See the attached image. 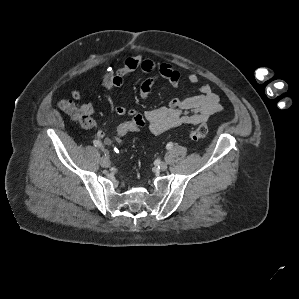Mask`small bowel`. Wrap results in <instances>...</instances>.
<instances>
[{"instance_id": "obj_1", "label": "small bowel", "mask_w": 299, "mask_h": 299, "mask_svg": "<svg viewBox=\"0 0 299 299\" xmlns=\"http://www.w3.org/2000/svg\"><path fill=\"white\" fill-rule=\"evenodd\" d=\"M136 71L148 75L140 87L142 99L147 98L159 78L166 79L173 86H177L180 81L179 72L169 63H155L143 58L142 55H136L128 57L121 68L104 74L101 84L106 91H111L114 87L121 86L126 78ZM198 80V76L194 73L188 76V81L192 84H196ZM71 95L75 100H80L82 97L81 92L77 89L73 90ZM82 108L89 116L94 113V108L90 103L83 104ZM221 110L222 105L219 96L207 84L199 88L197 95L185 98L176 96L171 99L167 106L150 109L142 113L122 105L115 107L117 115L129 116V118L141 123L143 128L147 127L155 135L183 125H197ZM87 128L96 129L98 138L104 139L107 146L111 145V139L105 137L95 120L92 119V123Z\"/></svg>"}]
</instances>
